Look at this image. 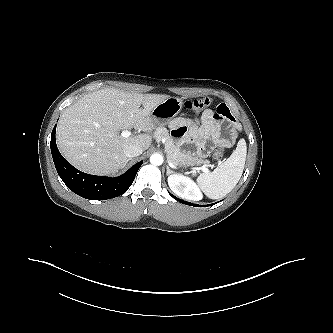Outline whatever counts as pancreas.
Segmentation results:
<instances>
[{"label":"pancreas","mask_w":333,"mask_h":333,"mask_svg":"<svg viewBox=\"0 0 333 333\" xmlns=\"http://www.w3.org/2000/svg\"><path fill=\"white\" fill-rule=\"evenodd\" d=\"M154 138L157 141L166 140L165 151L167 153V159L173 164L179 163H193L195 165H200L204 163V160L192 157L189 154L181 151L180 143L170 137L168 130L164 127H158L154 132Z\"/></svg>","instance_id":"1"}]
</instances>
